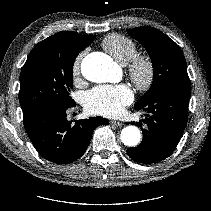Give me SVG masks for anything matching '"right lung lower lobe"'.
Segmentation results:
<instances>
[{
    "mask_svg": "<svg viewBox=\"0 0 211 211\" xmlns=\"http://www.w3.org/2000/svg\"><path fill=\"white\" fill-rule=\"evenodd\" d=\"M45 104L23 114L25 130L39 154L56 164H69L87 150L92 133L99 125H108L102 117L67 120L66 111L75 107Z\"/></svg>",
    "mask_w": 211,
    "mask_h": 211,
    "instance_id": "right-lung-lower-lobe-1",
    "label": "right lung lower lobe"
}]
</instances>
